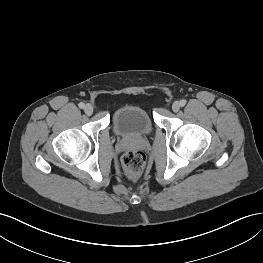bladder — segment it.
Segmentation results:
<instances>
[{"label": "bladder", "instance_id": "1", "mask_svg": "<svg viewBox=\"0 0 263 263\" xmlns=\"http://www.w3.org/2000/svg\"><path fill=\"white\" fill-rule=\"evenodd\" d=\"M113 129L125 138L144 139L152 134L153 122L142 107L128 104L115 111Z\"/></svg>", "mask_w": 263, "mask_h": 263}]
</instances>
